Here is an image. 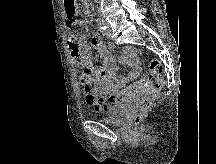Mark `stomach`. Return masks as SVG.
Instances as JSON below:
<instances>
[{"label": "stomach", "mask_w": 216, "mask_h": 164, "mask_svg": "<svg viewBox=\"0 0 216 164\" xmlns=\"http://www.w3.org/2000/svg\"><path fill=\"white\" fill-rule=\"evenodd\" d=\"M65 3L66 20H79L78 3L79 0H63Z\"/></svg>", "instance_id": "0dacf381"}]
</instances>
